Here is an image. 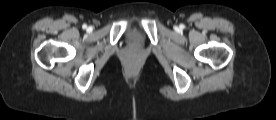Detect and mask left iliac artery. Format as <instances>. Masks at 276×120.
<instances>
[{
    "label": "left iliac artery",
    "instance_id": "44dca946",
    "mask_svg": "<svg viewBox=\"0 0 276 120\" xmlns=\"http://www.w3.org/2000/svg\"><path fill=\"white\" fill-rule=\"evenodd\" d=\"M181 28H184V26H183V25H181Z\"/></svg>",
    "mask_w": 276,
    "mask_h": 120
}]
</instances>
